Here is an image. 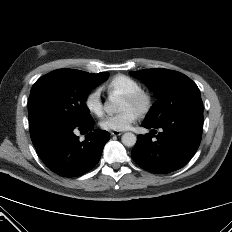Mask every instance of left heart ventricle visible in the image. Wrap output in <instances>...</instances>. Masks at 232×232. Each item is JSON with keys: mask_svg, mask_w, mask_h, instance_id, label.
I'll return each mask as SVG.
<instances>
[{"mask_svg": "<svg viewBox=\"0 0 232 232\" xmlns=\"http://www.w3.org/2000/svg\"><path fill=\"white\" fill-rule=\"evenodd\" d=\"M126 109H135V108L129 101L123 99L121 110H126Z\"/></svg>", "mask_w": 232, "mask_h": 232, "instance_id": "obj_1", "label": "left heart ventricle"}]
</instances>
